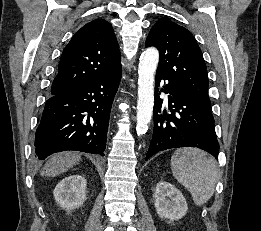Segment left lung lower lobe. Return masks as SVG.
Listing matches in <instances>:
<instances>
[{
  "label": "left lung lower lobe",
  "instance_id": "left-lung-lower-lobe-1",
  "mask_svg": "<svg viewBox=\"0 0 261 231\" xmlns=\"http://www.w3.org/2000/svg\"><path fill=\"white\" fill-rule=\"evenodd\" d=\"M168 80L164 91L169 93L170 114L163 109L157 86ZM154 131L146 160L162 150L178 147H197L212 154L216 159L219 143L215 133L211 106L195 102L186 97L165 75L156 72Z\"/></svg>",
  "mask_w": 261,
  "mask_h": 231
}]
</instances>
